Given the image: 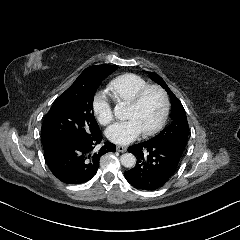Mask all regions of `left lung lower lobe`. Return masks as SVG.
<instances>
[{
  "label": "left lung lower lobe",
  "instance_id": "obj_1",
  "mask_svg": "<svg viewBox=\"0 0 240 240\" xmlns=\"http://www.w3.org/2000/svg\"><path fill=\"white\" fill-rule=\"evenodd\" d=\"M185 148L174 143H148L128 148L136 158V166L125 171L127 181L137 189L156 190L164 186L175 173Z\"/></svg>",
  "mask_w": 240,
  "mask_h": 240
}]
</instances>
